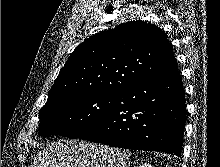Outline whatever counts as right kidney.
<instances>
[{"label": "right kidney", "mask_w": 220, "mask_h": 167, "mask_svg": "<svg viewBox=\"0 0 220 167\" xmlns=\"http://www.w3.org/2000/svg\"><path fill=\"white\" fill-rule=\"evenodd\" d=\"M139 167H152V166L148 163H144V164H141Z\"/></svg>", "instance_id": "1"}]
</instances>
